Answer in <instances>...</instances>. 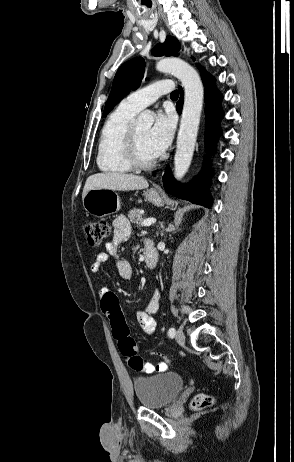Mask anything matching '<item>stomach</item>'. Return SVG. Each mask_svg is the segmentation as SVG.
Returning <instances> with one entry per match:
<instances>
[{
	"instance_id": "0dacf381",
	"label": "stomach",
	"mask_w": 294,
	"mask_h": 462,
	"mask_svg": "<svg viewBox=\"0 0 294 462\" xmlns=\"http://www.w3.org/2000/svg\"><path fill=\"white\" fill-rule=\"evenodd\" d=\"M148 201L156 206H163L164 201L159 193L154 189L145 192ZM83 207L87 213L101 218L120 210V198L118 194L109 189L93 188L90 189L83 198Z\"/></svg>"
}]
</instances>
